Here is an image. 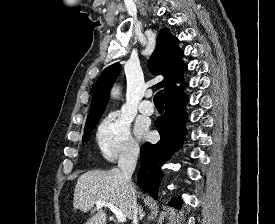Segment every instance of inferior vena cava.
<instances>
[{
  "instance_id": "obj_1",
  "label": "inferior vena cava",
  "mask_w": 275,
  "mask_h": 224,
  "mask_svg": "<svg viewBox=\"0 0 275 224\" xmlns=\"http://www.w3.org/2000/svg\"><path fill=\"white\" fill-rule=\"evenodd\" d=\"M139 155V149L136 147H129L122 151L119 155L118 167L122 172V178L130 193V202L132 209V223L138 222V206L135 189L131 183V177L135 170L137 159Z\"/></svg>"
}]
</instances>
